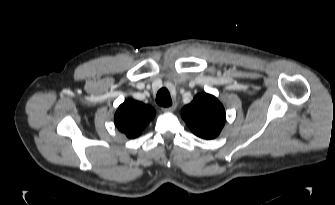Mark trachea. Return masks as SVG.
Returning <instances> with one entry per match:
<instances>
[{
    "label": "trachea",
    "instance_id": "obj_1",
    "mask_svg": "<svg viewBox=\"0 0 335 205\" xmlns=\"http://www.w3.org/2000/svg\"><path fill=\"white\" fill-rule=\"evenodd\" d=\"M156 103L163 107L172 105V99L169 91L166 88H161L156 95Z\"/></svg>",
    "mask_w": 335,
    "mask_h": 205
}]
</instances>
